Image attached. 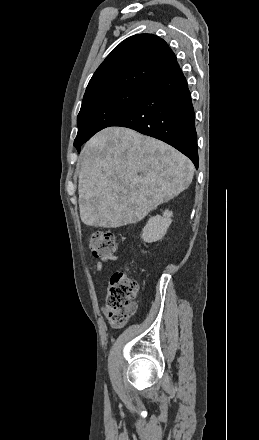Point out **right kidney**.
<instances>
[{"instance_id":"ca27d5eb","label":"right kidney","mask_w":259,"mask_h":440,"mask_svg":"<svg viewBox=\"0 0 259 440\" xmlns=\"http://www.w3.org/2000/svg\"><path fill=\"white\" fill-rule=\"evenodd\" d=\"M172 216V211L165 210L163 216L151 217L142 230L143 241L152 243L161 240L172 222Z\"/></svg>"}]
</instances>
